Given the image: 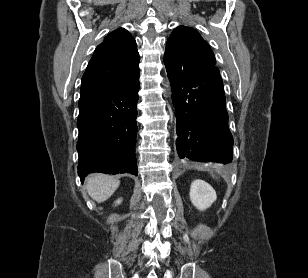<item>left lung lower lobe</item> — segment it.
<instances>
[{"label": "left lung lower lobe", "instance_id": "0a47b994", "mask_svg": "<svg viewBox=\"0 0 308 278\" xmlns=\"http://www.w3.org/2000/svg\"><path fill=\"white\" fill-rule=\"evenodd\" d=\"M167 72L176 109L179 158L231 162L233 137L219 69L212 67L187 75Z\"/></svg>", "mask_w": 308, "mask_h": 278}]
</instances>
